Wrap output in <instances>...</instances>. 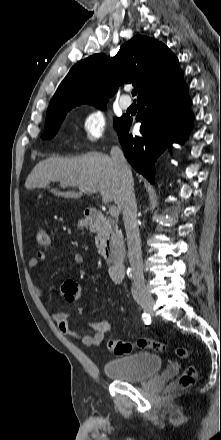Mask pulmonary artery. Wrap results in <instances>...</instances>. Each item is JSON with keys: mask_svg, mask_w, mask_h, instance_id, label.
I'll list each match as a JSON object with an SVG mask.
<instances>
[{"mask_svg": "<svg viewBox=\"0 0 221 440\" xmlns=\"http://www.w3.org/2000/svg\"><path fill=\"white\" fill-rule=\"evenodd\" d=\"M119 103H120V106H121L123 109H128V108L131 106V104H132V100L130 99L129 96H127V95H123V96L120 98Z\"/></svg>", "mask_w": 221, "mask_h": 440, "instance_id": "e3ab8cb5", "label": "pulmonary artery"}]
</instances>
